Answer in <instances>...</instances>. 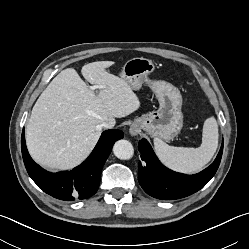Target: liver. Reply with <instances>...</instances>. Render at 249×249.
<instances>
[{"label":"liver","mask_w":249,"mask_h":249,"mask_svg":"<svg viewBox=\"0 0 249 249\" xmlns=\"http://www.w3.org/2000/svg\"><path fill=\"white\" fill-rule=\"evenodd\" d=\"M112 61H98L77 71H61L36 101L26 127V143L32 158L52 168L71 169L91 153L101 133V124L138 110L140 101L122 78L106 71Z\"/></svg>","instance_id":"1"}]
</instances>
